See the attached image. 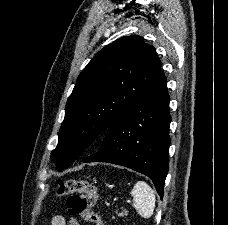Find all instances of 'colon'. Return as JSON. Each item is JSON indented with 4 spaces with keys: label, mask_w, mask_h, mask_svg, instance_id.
Segmentation results:
<instances>
[{
    "label": "colon",
    "mask_w": 228,
    "mask_h": 225,
    "mask_svg": "<svg viewBox=\"0 0 228 225\" xmlns=\"http://www.w3.org/2000/svg\"><path fill=\"white\" fill-rule=\"evenodd\" d=\"M57 195L67 198L69 214H76V217H81L92 225H104L103 219L94 210L97 189L92 182L81 179L59 180Z\"/></svg>",
    "instance_id": "obj_1"
}]
</instances>
